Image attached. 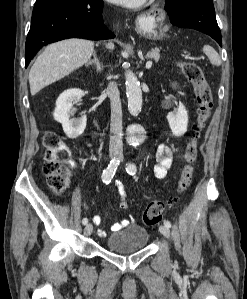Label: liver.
<instances>
[{"instance_id":"6515ba94","label":"liver","mask_w":247,"mask_h":299,"mask_svg":"<svg viewBox=\"0 0 247 299\" xmlns=\"http://www.w3.org/2000/svg\"><path fill=\"white\" fill-rule=\"evenodd\" d=\"M107 47L113 49L114 44L108 43ZM93 52L94 42L85 39L72 38L48 45L30 69L31 95L88 63Z\"/></svg>"}]
</instances>
